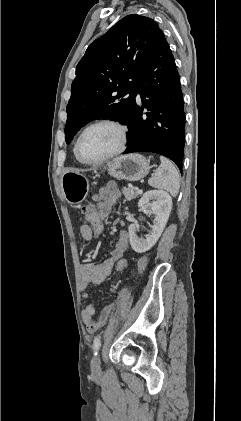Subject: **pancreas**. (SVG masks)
Segmentation results:
<instances>
[{
  "instance_id": "1",
  "label": "pancreas",
  "mask_w": 241,
  "mask_h": 421,
  "mask_svg": "<svg viewBox=\"0 0 241 421\" xmlns=\"http://www.w3.org/2000/svg\"><path fill=\"white\" fill-rule=\"evenodd\" d=\"M122 193L127 200H132L138 196V192H136L133 188L130 187H123Z\"/></svg>"
}]
</instances>
